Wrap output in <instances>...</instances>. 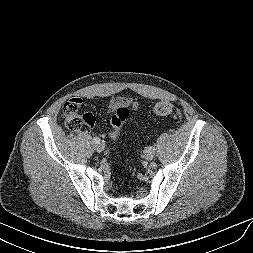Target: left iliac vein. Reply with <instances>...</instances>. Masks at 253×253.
I'll list each match as a JSON object with an SVG mask.
<instances>
[{
    "mask_svg": "<svg viewBox=\"0 0 253 253\" xmlns=\"http://www.w3.org/2000/svg\"><path fill=\"white\" fill-rule=\"evenodd\" d=\"M154 152L150 151L149 149L144 152V158L148 161H151L154 158Z\"/></svg>",
    "mask_w": 253,
    "mask_h": 253,
    "instance_id": "left-iliac-vein-1",
    "label": "left iliac vein"
}]
</instances>
